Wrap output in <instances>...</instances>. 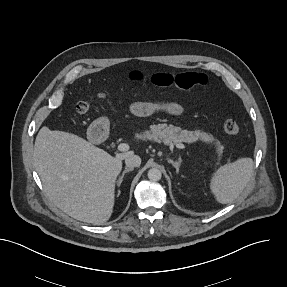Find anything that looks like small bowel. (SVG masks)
I'll list each match as a JSON object with an SVG mask.
<instances>
[{
	"label": "small bowel",
	"instance_id": "obj_1",
	"mask_svg": "<svg viewBox=\"0 0 287 287\" xmlns=\"http://www.w3.org/2000/svg\"><path fill=\"white\" fill-rule=\"evenodd\" d=\"M156 110L166 111L176 117H181L183 115L182 107L174 102L152 103L140 101L135 102L131 106V112L136 116H146Z\"/></svg>",
	"mask_w": 287,
	"mask_h": 287
}]
</instances>
